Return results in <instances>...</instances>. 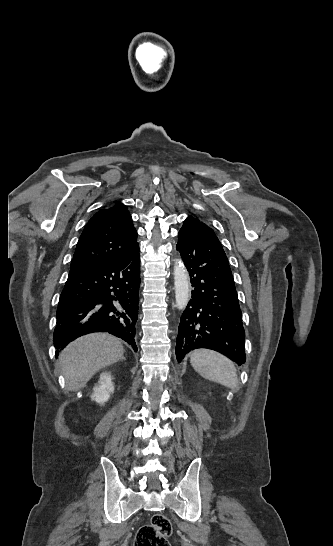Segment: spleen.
I'll use <instances>...</instances> for the list:
<instances>
[{"mask_svg": "<svg viewBox=\"0 0 333 546\" xmlns=\"http://www.w3.org/2000/svg\"><path fill=\"white\" fill-rule=\"evenodd\" d=\"M190 362L203 378L218 382L230 389L238 386L237 373L233 363L222 354L200 349L191 353Z\"/></svg>", "mask_w": 333, "mask_h": 546, "instance_id": "3e777b00", "label": "spleen"}]
</instances>
